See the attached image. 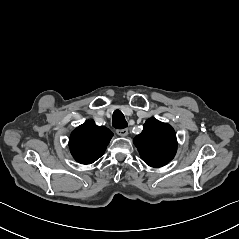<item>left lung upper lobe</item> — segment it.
I'll return each mask as SVG.
<instances>
[{
  "label": "left lung upper lobe",
  "instance_id": "5c2ea615",
  "mask_svg": "<svg viewBox=\"0 0 239 239\" xmlns=\"http://www.w3.org/2000/svg\"><path fill=\"white\" fill-rule=\"evenodd\" d=\"M142 160L151 167H162L169 163L177 151L174 129L155 118L148 119L141 134L133 140Z\"/></svg>",
  "mask_w": 239,
  "mask_h": 239
}]
</instances>
